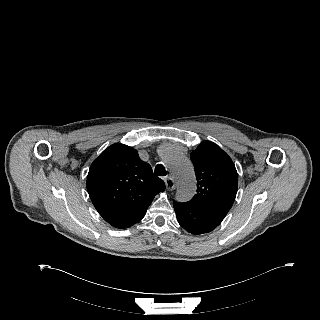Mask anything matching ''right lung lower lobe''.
Wrapping results in <instances>:
<instances>
[{
	"label": "right lung lower lobe",
	"instance_id": "98d812e1",
	"mask_svg": "<svg viewBox=\"0 0 320 320\" xmlns=\"http://www.w3.org/2000/svg\"><path fill=\"white\" fill-rule=\"evenodd\" d=\"M145 214L139 215L137 217L131 218L129 220H125V221H120V222H115L113 224H111L112 226L116 227V228H128L132 225H134L135 223H137L138 221H140Z\"/></svg>",
	"mask_w": 320,
	"mask_h": 320
}]
</instances>
